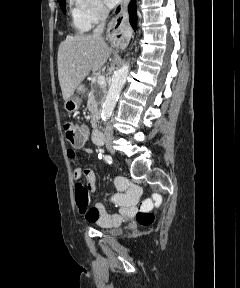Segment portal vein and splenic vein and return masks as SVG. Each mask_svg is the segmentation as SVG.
I'll list each match as a JSON object with an SVG mask.
<instances>
[{"instance_id": "obj_1", "label": "portal vein and splenic vein", "mask_w": 240, "mask_h": 288, "mask_svg": "<svg viewBox=\"0 0 240 288\" xmlns=\"http://www.w3.org/2000/svg\"><path fill=\"white\" fill-rule=\"evenodd\" d=\"M97 83L100 86H103L105 84V77L103 75H99L97 78Z\"/></svg>"}]
</instances>
